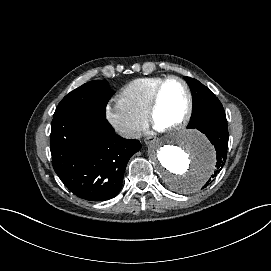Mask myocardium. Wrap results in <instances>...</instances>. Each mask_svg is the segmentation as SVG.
<instances>
[{
    "instance_id": "obj_1",
    "label": "myocardium",
    "mask_w": 271,
    "mask_h": 271,
    "mask_svg": "<svg viewBox=\"0 0 271 271\" xmlns=\"http://www.w3.org/2000/svg\"><path fill=\"white\" fill-rule=\"evenodd\" d=\"M172 80H177V81L181 82L183 84V86L185 87L187 95H188L187 110L184 113V115L180 119H178L175 123H173L172 125H170L166 128H159L156 125V115H157L158 110L160 108L161 94H162V91H163V88L165 87V85ZM194 105H195L194 93H193V90H192L190 84L187 82V80L181 76H178V75H168L165 78H163L155 87V89L152 93V96H151V103H150V107L148 109L147 117H148V120L151 123V125L156 129H159L163 132L176 131V130L183 128L186 124L189 123V121L191 120V118L193 116Z\"/></svg>"
}]
</instances>
